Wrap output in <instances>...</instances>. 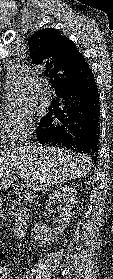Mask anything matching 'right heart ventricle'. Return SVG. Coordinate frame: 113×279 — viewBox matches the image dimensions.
<instances>
[{
	"label": "right heart ventricle",
	"mask_w": 113,
	"mask_h": 279,
	"mask_svg": "<svg viewBox=\"0 0 113 279\" xmlns=\"http://www.w3.org/2000/svg\"><path fill=\"white\" fill-rule=\"evenodd\" d=\"M6 140V134L2 125V121H0V144H2Z\"/></svg>",
	"instance_id": "1"
}]
</instances>
